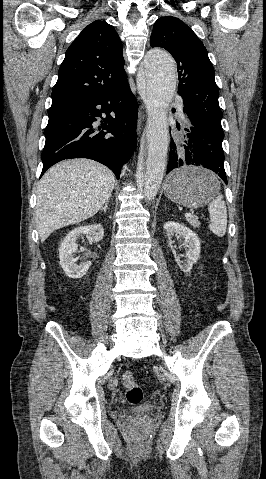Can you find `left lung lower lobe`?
<instances>
[{
	"label": "left lung lower lobe",
	"instance_id": "0a47b994",
	"mask_svg": "<svg viewBox=\"0 0 266 479\" xmlns=\"http://www.w3.org/2000/svg\"><path fill=\"white\" fill-rule=\"evenodd\" d=\"M189 125L184 128L181 142L170 145L167 174L183 165L201 166L214 171L227 184L224 170V156L213 153L212 145L199 129V126L188 118ZM180 130V126H177Z\"/></svg>",
	"mask_w": 266,
	"mask_h": 479
}]
</instances>
